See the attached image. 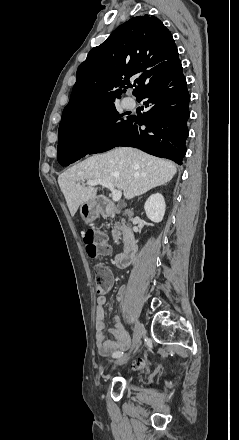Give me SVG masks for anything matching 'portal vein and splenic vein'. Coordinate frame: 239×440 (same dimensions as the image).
<instances>
[{"label": "portal vein and splenic vein", "instance_id": "obj_1", "mask_svg": "<svg viewBox=\"0 0 239 440\" xmlns=\"http://www.w3.org/2000/svg\"><path fill=\"white\" fill-rule=\"evenodd\" d=\"M87 186H103V188H108L112 192V200L113 202H119L121 200L122 192L121 190H115L113 184L111 182H106V180H87ZM80 186V184H78Z\"/></svg>", "mask_w": 239, "mask_h": 440}]
</instances>
